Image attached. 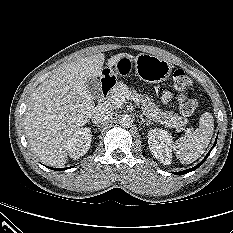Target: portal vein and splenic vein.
<instances>
[{"label": "portal vein and splenic vein", "mask_w": 233, "mask_h": 233, "mask_svg": "<svg viewBox=\"0 0 233 233\" xmlns=\"http://www.w3.org/2000/svg\"><path fill=\"white\" fill-rule=\"evenodd\" d=\"M131 98V94L129 93H123V94H119L117 97L113 98V101L116 105H121L123 103H125L126 99H130ZM191 129H187L185 130V132L188 134L190 133Z\"/></svg>", "instance_id": "portal-vein-and-splenic-vein-1"}]
</instances>
